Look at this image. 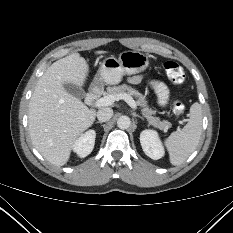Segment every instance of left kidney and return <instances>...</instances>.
<instances>
[{
  "mask_svg": "<svg viewBox=\"0 0 233 233\" xmlns=\"http://www.w3.org/2000/svg\"><path fill=\"white\" fill-rule=\"evenodd\" d=\"M140 143L144 153L153 160H158L165 154L158 133L154 130H143L140 134Z\"/></svg>",
  "mask_w": 233,
  "mask_h": 233,
  "instance_id": "obj_1",
  "label": "left kidney"
}]
</instances>
